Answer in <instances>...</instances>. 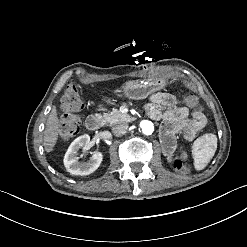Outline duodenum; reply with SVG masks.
I'll use <instances>...</instances> for the list:
<instances>
[{
	"label": "duodenum",
	"instance_id": "obj_1",
	"mask_svg": "<svg viewBox=\"0 0 247 247\" xmlns=\"http://www.w3.org/2000/svg\"><path fill=\"white\" fill-rule=\"evenodd\" d=\"M103 117L100 115H92L87 118L85 124L89 130L96 131L103 125Z\"/></svg>",
	"mask_w": 247,
	"mask_h": 247
}]
</instances>
